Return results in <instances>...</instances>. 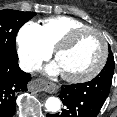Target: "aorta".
Listing matches in <instances>:
<instances>
[{
  "mask_svg": "<svg viewBox=\"0 0 117 117\" xmlns=\"http://www.w3.org/2000/svg\"><path fill=\"white\" fill-rule=\"evenodd\" d=\"M45 108L49 111V112H57L60 110L61 108V101L59 98L57 97H49L47 100H46V103H45Z\"/></svg>",
  "mask_w": 117,
  "mask_h": 117,
  "instance_id": "obj_1",
  "label": "aorta"
}]
</instances>
